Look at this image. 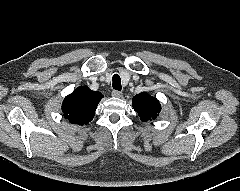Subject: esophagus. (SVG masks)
Wrapping results in <instances>:
<instances>
[{"label":"esophagus","mask_w":240,"mask_h":191,"mask_svg":"<svg viewBox=\"0 0 240 191\" xmlns=\"http://www.w3.org/2000/svg\"><path fill=\"white\" fill-rule=\"evenodd\" d=\"M112 96L116 97V98H121L122 97V92L117 91V90H113L112 91Z\"/></svg>","instance_id":"obj_1"}]
</instances>
